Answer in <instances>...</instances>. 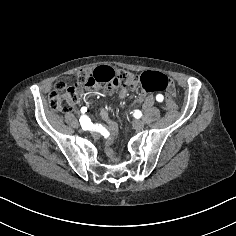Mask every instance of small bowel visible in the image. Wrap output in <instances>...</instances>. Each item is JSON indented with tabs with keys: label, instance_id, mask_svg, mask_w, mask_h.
Here are the masks:
<instances>
[{
	"label": "small bowel",
	"instance_id": "1",
	"mask_svg": "<svg viewBox=\"0 0 236 236\" xmlns=\"http://www.w3.org/2000/svg\"><path fill=\"white\" fill-rule=\"evenodd\" d=\"M136 88V84L131 86H124L120 89L119 96L121 98L126 97L131 90ZM141 102H143L145 107H150L154 103V98L150 95L142 96ZM101 118L104 121V131L103 135L109 140V146L111 145V136H117V125L114 121L109 118L108 112L106 109H101L100 111ZM108 154L112 155V150L108 148Z\"/></svg>",
	"mask_w": 236,
	"mask_h": 236
}]
</instances>
